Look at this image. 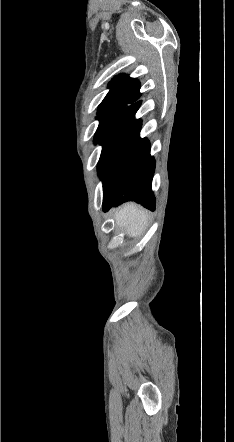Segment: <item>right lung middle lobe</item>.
I'll use <instances>...</instances> for the list:
<instances>
[{"label":"right lung middle lobe","instance_id":"1","mask_svg":"<svg viewBox=\"0 0 234 442\" xmlns=\"http://www.w3.org/2000/svg\"><path fill=\"white\" fill-rule=\"evenodd\" d=\"M117 115H105V116H98L97 119L99 120V126L95 133L94 137V143L97 144L101 141L111 124L116 119Z\"/></svg>","mask_w":234,"mask_h":442}]
</instances>
